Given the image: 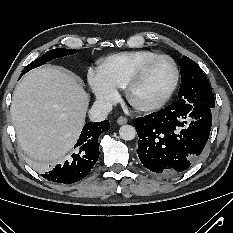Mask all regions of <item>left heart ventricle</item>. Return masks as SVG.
Segmentation results:
<instances>
[{"label":"left heart ventricle","mask_w":233,"mask_h":233,"mask_svg":"<svg viewBox=\"0 0 233 233\" xmlns=\"http://www.w3.org/2000/svg\"><path fill=\"white\" fill-rule=\"evenodd\" d=\"M174 70L168 59L152 62L131 92L132 100L140 105L152 103L159 99L170 86Z\"/></svg>","instance_id":"b2bd125f"}]
</instances>
